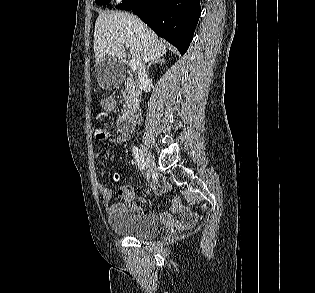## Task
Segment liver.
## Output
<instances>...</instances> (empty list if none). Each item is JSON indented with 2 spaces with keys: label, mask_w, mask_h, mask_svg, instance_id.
Listing matches in <instances>:
<instances>
[{
  "label": "liver",
  "mask_w": 315,
  "mask_h": 293,
  "mask_svg": "<svg viewBox=\"0 0 315 293\" xmlns=\"http://www.w3.org/2000/svg\"><path fill=\"white\" fill-rule=\"evenodd\" d=\"M125 48L138 66L166 53L164 42L136 16L121 11L101 13L94 28L96 63L100 64L107 55L122 60Z\"/></svg>",
  "instance_id": "1"
}]
</instances>
